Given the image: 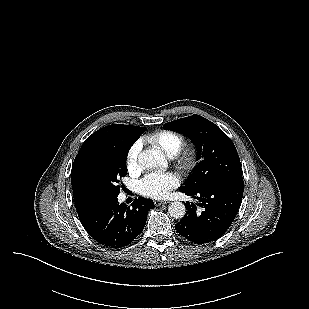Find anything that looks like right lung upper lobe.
Segmentation results:
<instances>
[{"label":"right lung upper lobe","instance_id":"obj_1","mask_svg":"<svg viewBox=\"0 0 309 309\" xmlns=\"http://www.w3.org/2000/svg\"><path fill=\"white\" fill-rule=\"evenodd\" d=\"M143 128L114 124L97 130L87 138L77 154L71 170V183L76 209H80L96 200V197L90 190L87 179V164L93 151L101 144L113 139L122 132H133Z\"/></svg>","mask_w":309,"mask_h":309}]
</instances>
